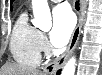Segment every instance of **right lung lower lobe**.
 I'll use <instances>...</instances> for the list:
<instances>
[{"label":"right lung lower lobe","mask_w":102,"mask_h":75,"mask_svg":"<svg viewBox=\"0 0 102 75\" xmlns=\"http://www.w3.org/2000/svg\"><path fill=\"white\" fill-rule=\"evenodd\" d=\"M60 72H61V70H58V71H57V74L59 75V74H60Z\"/></svg>","instance_id":"1"}]
</instances>
